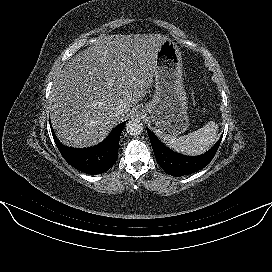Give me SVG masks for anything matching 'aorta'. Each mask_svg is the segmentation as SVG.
<instances>
[{"label": "aorta", "instance_id": "1", "mask_svg": "<svg viewBox=\"0 0 272 272\" xmlns=\"http://www.w3.org/2000/svg\"><path fill=\"white\" fill-rule=\"evenodd\" d=\"M125 129L128 134L137 136L143 131V123L138 119H132L126 123Z\"/></svg>", "mask_w": 272, "mask_h": 272}]
</instances>
